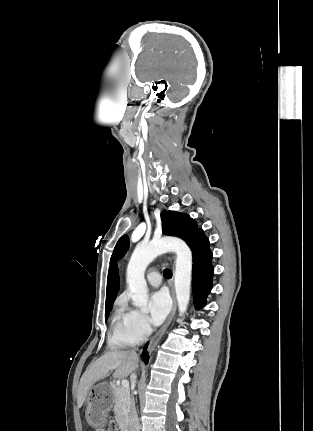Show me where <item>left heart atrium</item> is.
<instances>
[{
  "instance_id": "1",
  "label": "left heart atrium",
  "mask_w": 313,
  "mask_h": 431,
  "mask_svg": "<svg viewBox=\"0 0 313 431\" xmlns=\"http://www.w3.org/2000/svg\"><path fill=\"white\" fill-rule=\"evenodd\" d=\"M170 310V299L166 291L154 292L149 298L150 321L154 325L161 324Z\"/></svg>"
}]
</instances>
